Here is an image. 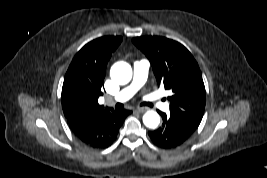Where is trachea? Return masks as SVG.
Masks as SVG:
<instances>
[{"label":"trachea","instance_id":"obj_1","mask_svg":"<svg viewBox=\"0 0 267 178\" xmlns=\"http://www.w3.org/2000/svg\"><path fill=\"white\" fill-rule=\"evenodd\" d=\"M144 105H146V106H149V107H152L153 106V104L152 103H144ZM123 105L121 104V103H117L116 104V108H120V107H122Z\"/></svg>","mask_w":267,"mask_h":178}]
</instances>
